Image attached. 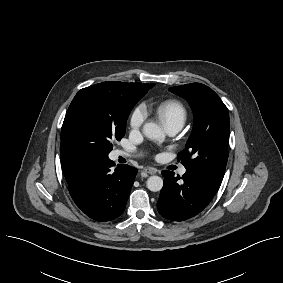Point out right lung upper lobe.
Instances as JSON below:
<instances>
[{"label": "right lung upper lobe", "mask_w": 283, "mask_h": 283, "mask_svg": "<svg viewBox=\"0 0 283 283\" xmlns=\"http://www.w3.org/2000/svg\"><path fill=\"white\" fill-rule=\"evenodd\" d=\"M136 89L142 90L146 87L147 84L142 83H129ZM60 157H61V166L65 175V178L70 181L75 174L78 172L80 167L84 164L86 159L79 156L70 150L63 142L60 145Z\"/></svg>", "instance_id": "1"}]
</instances>
